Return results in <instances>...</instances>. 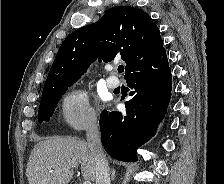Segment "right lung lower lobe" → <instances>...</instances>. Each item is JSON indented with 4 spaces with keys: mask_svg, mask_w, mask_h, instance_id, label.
Segmentation results:
<instances>
[{
    "mask_svg": "<svg viewBox=\"0 0 224 184\" xmlns=\"http://www.w3.org/2000/svg\"><path fill=\"white\" fill-rule=\"evenodd\" d=\"M171 68L163 65L126 79L132 99L126 112L104 110L100 116L101 141L113 158L137 161L136 150L156 132L171 97Z\"/></svg>",
    "mask_w": 224,
    "mask_h": 184,
    "instance_id": "98d812e1",
    "label": "right lung lower lobe"
}]
</instances>
